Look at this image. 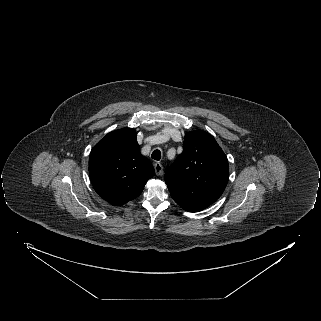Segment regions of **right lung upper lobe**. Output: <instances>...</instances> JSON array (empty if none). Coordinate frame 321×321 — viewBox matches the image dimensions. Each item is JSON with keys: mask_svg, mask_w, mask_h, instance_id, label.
Returning <instances> with one entry per match:
<instances>
[{"mask_svg": "<svg viewBox=\"0 0 321 321\" xmlns=\"http://www.w3.org/2000/svg\"><path fill=\"white\" fill-rule=\"evenodd\" d=\"M153 175L154 168L141 155L132 128L110 132L91 150V183L100 197L111 204L123 205L138 197Z\"/></svg>", "mask_w": 321, "mask_h": 321, "instance_id": "obj_1", "label": "right lung upper lobe"}]
</instances>
